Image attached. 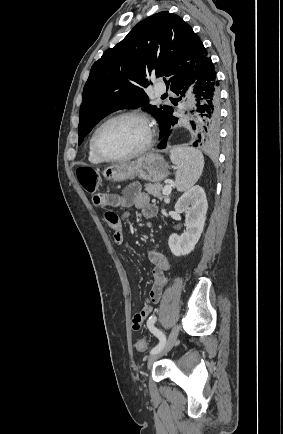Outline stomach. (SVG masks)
Masks as SVG:
<instances>
[{"mask_svg":"<svg viewBox=\"0 0 283 434\" xmlns=\"http://www.w3.org/2000/svg\"><path fill=\"white\" fill-rule=\"evenodd\" d=\"M105 179L122 182L134 177L159 183L169 175V166L163 156L158 153H148L130 162L113 164L103 171Z\"/></svg>","mask_w":283,"mask_h":434,"instance_id":"stomach-1","label":"stomach"}]
</instances>
